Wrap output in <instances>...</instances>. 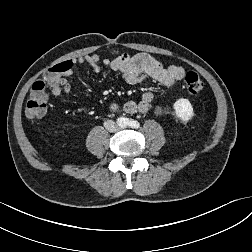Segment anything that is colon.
Returning <instances> with one entry per match:
<instances>
[{"label":"colon","mask_w":252,"mask_h":252,"mask_svg":"<svg viewBox=\"0 0 252 252\" xmlns=\"http://www.w3.org/2000/svg\"><path fill=\"white\" fill-rule=\"evenodd\" d=\"M68 66L63 62L50 68L43 79L33 83L30 96L26 102L25 114L29 119L43 117L47 110L46 89L56 84ZM186 88L192 95H197L204 90V82L195 72H188L184 78Z\"/></svg>","instance_id":"colon-1"}]
</instances>
